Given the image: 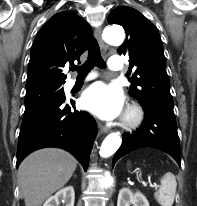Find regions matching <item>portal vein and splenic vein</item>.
Returning <instances> with one entry per match:
<instances>
[{
    "label": "portal vein and splenic vein",
    "mask_w": 197,
    "mask_h": 206,
    "mask_svg": "<svg viewBox=\"0 0 197 206\" xmlns=\"http://www.w3.org/2000/svg\"><path fill=\"white\" fill-rule=\"evenodd\" d=\"M150 184V186H152V187H155V188H158L159 187V185H157L156 183H149ZM143 185L144 186H147V183H145V182H143Z\"/></svg>",
    "instance_id": "obj_1"
}]
</instances>
